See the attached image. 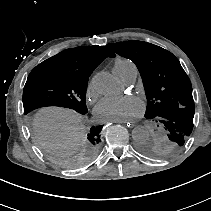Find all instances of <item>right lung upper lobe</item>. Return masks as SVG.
<instances>
[{
  "mask_svg": "<svg viewBox=\"0 0 211 211\" xmlns=\"http://www.w3.org/2000/svg\"><path fill=\"white\" fill-rule=\"evenodd\" d=\"M106 57H115V54L107 47L81 46L66 49L43 61L40 65L91 74Z\"/></svg>",
  "mask_w": 211,
  "mask_h": 211,
  "instance_id": "right-lung-upper-lobe-1",
  "label": "right lung upper lobe"
}]
</instances>
